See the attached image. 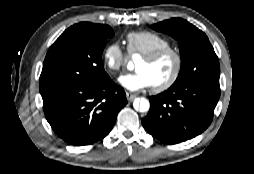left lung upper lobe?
<instances>
[{"label":"left lung upper lobe","mask_w":254,"mask_h":174,"mask_svg":"<svg viewBox=\"0 0 254 174\" xmlns=\"http://www.w3.org/2000/svg\"><path fill=\"white\" fill-rule=\"evenodd\" d=\"M178 40L181 69L172 87L198 81L219 82L220 65L208 37L201 30L181 18H172L151 26Z\"/></svg>","instance_id":"left-lung-upper-lobe-1"}]
</instances>
